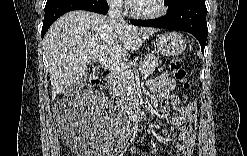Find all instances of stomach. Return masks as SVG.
<instances>
[{"instance_id":"0dacf381","label":"stomach","mask_w":247,"mask_h":156,"mask_svg":"<svg viewBox=\"0 0 247 156\" xmlns=\"http://www.w3.org/2000/svg\"><path fill=\"white\" fill-rule=\"evenodd\" d=\"M187 45V39L178 32H167L157 37L155 46L165 56H175L182 53Z\"/></svg>"}]
</instances>
